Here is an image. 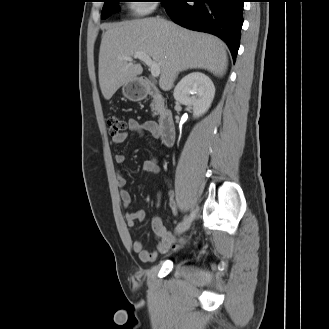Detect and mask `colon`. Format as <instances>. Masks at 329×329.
Listing matches in <instances>:
<instances>
[{"mask_svg":"<svg viewBox=\"0 0 329 329\" xmlns=\"http://www.w3.org/2000/svg\"><path fill=\"white\" fill-rule=\"evenodd\" d=\"M109 132L112 136L119 135L125 131L124 122L118 117H110L108 119Z\"/></svg>","mask_w":329,"mask_h":329,"instance_id":"5ec220e1","label":"colon"}]
</instances>
